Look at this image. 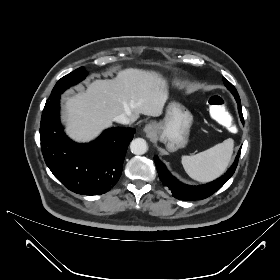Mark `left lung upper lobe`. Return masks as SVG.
<instances>
[{
    "label": "left lung upper lobe",
    "mask_w": 280,
    "mask_h": 280,
    "mask_svg": "<svg viewBox=\"0 0 280 280\" xmlns=\"http://www.w3.org/2000/svg\"><path fill=\"white\" fill-rule=\"evenodd\" d=\"M224 85L227 87V89L234 95V97H239L238 92L236 91L235 87L227 81L225 78H223Z\"/></svg>",
    "instance_id": "1"
}]
</instances>
